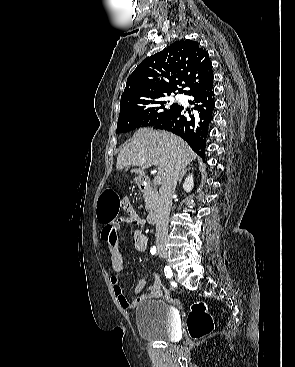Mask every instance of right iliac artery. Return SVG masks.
I'll list each match as a JSON object with an SVG mask.
<instances>
[{
    "label": "right iliac artery",
    "instance_id": "1",
    "mask_svg": "<svg viewBox=\"0 0 295 367\" xmlns=\"http://www.w3.org/2000/svg\"><path fill=\"white\" fill-rule=\"evenodd\" d=\"M156 251H157V248H156L155 246L151 247V249H150V253H151L152 255L156 254ZM164 272H165V276H166L167 278H171V277H172V271H171V269H170L168 266H166V267L164 268Z\"/></svg>",
    "mask_w": 295,
    "mask_h": 367
}]
</instances>
